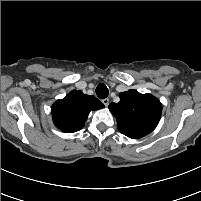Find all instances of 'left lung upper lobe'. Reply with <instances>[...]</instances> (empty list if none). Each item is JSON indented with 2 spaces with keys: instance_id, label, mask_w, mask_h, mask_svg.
Instances as JSON below:
<instances>
[{
  "instance_id": "obj_1",
  "label": "left lung upper lobe",
  "mask_w": 201,
  "mask_h": 201,
  "mask_svg": "<svg viewBox=\"0 0 201 201\" xmlns=\"http://www.w3.org/2000/svg\"><path fill=\"white\" fill-rule=\"evenodd\" d=\"M120 101L111 103L109 110L116 117L118 130L132 139L152 132L159 123L162 105L151 94L128 90L119 94Z\"/></svg>"
}]
</instances>
